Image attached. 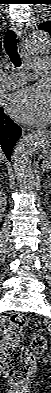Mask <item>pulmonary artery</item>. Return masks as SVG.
<instances>
[{"label": "pulmonary artery", "mask_w": 51, "mask_h": 393, "mask_svg": "<svg viewBox=\"0 0 51 393\" xmlns=\"http://www.w3.org/2000/svg\"><path fill=\"white\" fill-rule=\"evenodd\" d=\"M51 64L49 60H41L36 62V68L38 72L46 75L50 71ZM26 82V77L24 74H10L3 75L0 81V87L4 89H11L18 87Z\"/></svg>", "instance_id": "pulmonary-artery-1"}]
</instances>
